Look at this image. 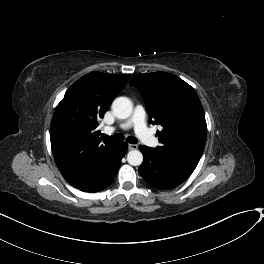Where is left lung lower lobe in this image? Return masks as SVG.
Wrapping results in <instances>:
<instances>
[{
	"mask_svg": "<svg viewBox=\"0 0 264 264\" xmlns=\"http://www.w3.org/2000/svg\"><path fill=\"white\" fill-rule=\"evenodd\" d=\"M144 161L139 173L152 187L169 190L183 183L194 171L197 164L171 158L157 152L154 148L139 146Z\"/></svg>",
	"mask_w": 264,
	"mask_h": 264,
	"instance_id": "0a47b994",
	"label": "left lung lower lobe"
}]
</instances>
